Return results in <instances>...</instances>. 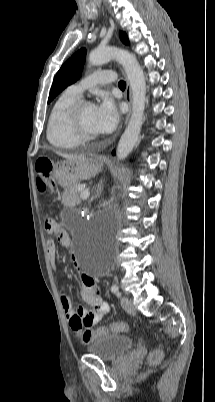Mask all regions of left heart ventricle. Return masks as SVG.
Returning a JSON list of instances; mask_svg holds the SVG:
<instances>
[{"mask_svg": "<svg viewBox=\"0 0 215 402\" xmlns=\"http://www.w3.org/2000/svg\"><path fill=\"white\" fill-rule=\"evenodd\" d=\"M94 113L95 106L90 104L86 105L81 112V124L83 129L90 134H97L94 128Z\"/></svg>", "mask_w": 215, "mask_h": 402, "instance_id": "left-heart-ventricle-1", "label": "left heart ventricle"}]
</instances>
